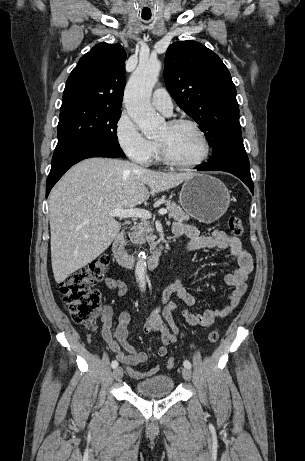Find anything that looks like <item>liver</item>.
Returning a JSON list of instances; mask_svg holds the SVG:
<instances>
[{"instance_id":"liver-1","label":"liver","mask_w":305,"mask_h":461,"mask_svg":"<svg viewBox=\"0 0 305 461\" xmlns=\"http://www.w3.org/2000/svg\"><path fill=\"white\" fill-rule=\"evenodd\" d=\"M192 176L108 158H89L73 166L49 196L55 281H65L110 246L121 228L109 216L111 211L134 208L150 195L174 188Z\"/></svg>"}]
</instances>
